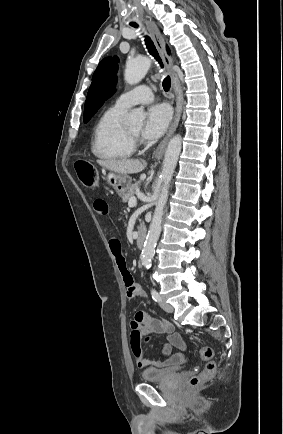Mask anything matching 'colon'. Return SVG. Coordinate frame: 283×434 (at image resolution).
Listing matches in <instances>:
<instances>
[{
	"mask_svg": "<svg viewBox=\"0 0 283 434\" xmlns=\"http://www.w3.org/2000/svg\"><path fill=\"white\" fill-rule=\"evenodd\" d=\"M76 173L80 182L87 188H94L98 184V173L95 167L88 162H77L75 164ZM201 360L207 361L204 369L200 374L190 379L192 386H197L202 382L211 380L217 371V366L213 361V350L209 346L201 347L198 351Z\"/></svg>",
	"mask_w": 283,
	"mask_h": 434,
	"instance_id": "5ec220e1",
	"label": "colon"
}]
</instances>
